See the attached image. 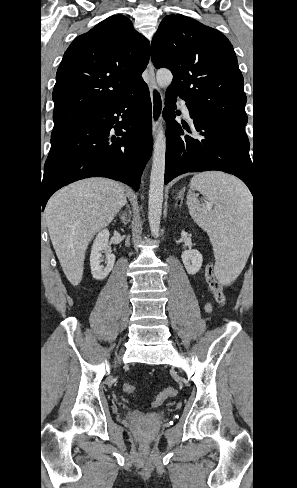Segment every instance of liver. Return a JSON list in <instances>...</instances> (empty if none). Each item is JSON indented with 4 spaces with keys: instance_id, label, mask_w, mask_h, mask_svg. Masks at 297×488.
<instances>
[{
    "instance_id": "obj_1",
    "label": "liver",
    "mask_w": 297,
    "mask_h": 488,
    "mask_svg": "<svg viewBox=\"0 0 297 488\" xmlns=\"http://www.w3.org/2000/svg\"><path fill=\"white\" fill-rule=\"evenodd\" d=\"M124 188L104 178L72 183L54 194L45 209L50 238L63 272L76 286L83 276L87 247L125 204Z\"/></svg>"
}]
</instances>
